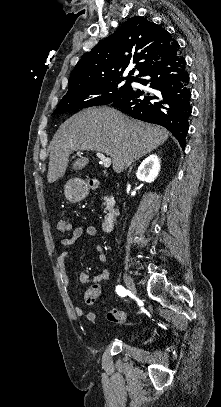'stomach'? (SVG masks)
Returning a JSON list of instances; mask_svg holds the SVG:
<instances>
[{
  "mask_svg": "<svg viewBox=\"0 0 221 407\" xmlns=\"http://www.w3.org/2000/svg\"><path fill=\"white\" fill-rule=\"evenodd\" d=\"M64 194L69 202L78 203L88 195L87 184L79 178L71 179L65 185Z\"/></svg>",
  "mask_w": 221,
  "mask_h": 407,
  "instance_id": "stomach-1",
  "label": "stomach"
}]
</instances>
